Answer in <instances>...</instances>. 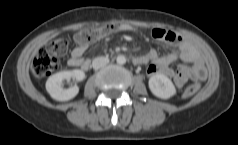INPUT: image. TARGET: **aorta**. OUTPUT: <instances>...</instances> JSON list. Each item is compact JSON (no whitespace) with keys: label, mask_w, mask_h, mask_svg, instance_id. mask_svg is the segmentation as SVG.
<instances>
[{"label":"aorta","mask_w":238,"mask_h":145,"mask_svg":"<svg viewBox=\"0 0 238 145\" xmlns=\"http://www.w3.org/2000/svg\"><path fill=\"white\" fill-rule=\"evenodd\" d=\"M118 64H125L126 63V57L124 55H118L116 59Z\"/></svg>","instance_id":"obj_1"}]
</instances>
